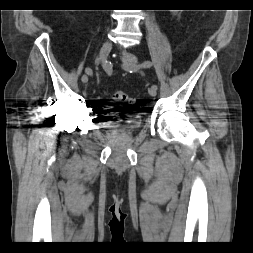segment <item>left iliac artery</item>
I'll return each instance as SVG.
<instances>
[{
    "mask_svg": "<svg viewBox=\"0 0 253 253\" xmlns=\"http://www.w3.org/2000/svg\"><path fill=\"white\" fill-rule=\"evenodd\" d=\"M152 67V62L149 60L144 61L142 64L138 65V66H134V69H138V68H150ZM154 87L157 88V85H153Z\"/></svg>",
    "mask_w": 253,
    "mask_h": 253,
    "instance_id": "1",
    "label": "left iliac artery"
}]
</instances>
